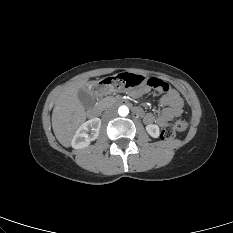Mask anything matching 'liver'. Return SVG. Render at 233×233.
Listing matches in <instances>:
<instances>
[{
    "label": "liver",
    "instance_id": "obj_1",
    "mask_svg": "<svg viewBox=\"0 0 233 233\" xmlns=\"http://www.w3.org/2000/svg\"><path fill=\"white\" fill-rule=\"evenodd\" d=\"M92 83L87 78L76 80L68 84L56 100L52 112V128L64 147L70 146L75 132L86 120L85 108L78 99V92L85 88L93 95Z\"/></svg>",
    "mask_w": 233,
    "mask_h": 233
}]
</instances>
